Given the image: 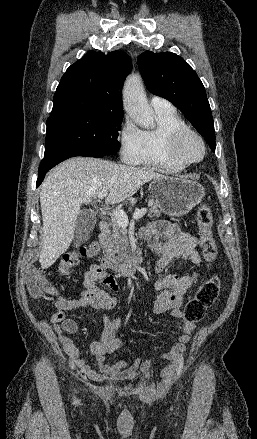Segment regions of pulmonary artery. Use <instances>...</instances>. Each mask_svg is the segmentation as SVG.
<instances>
[{"label": "pulmonary artery", "instance_id": "pulmonary-artery-1", "mask_svg": "<svg viewBox=\"0 0 257 439\" xmlns=\"http://www.w3.org/2000/svg\"><path fill=\"white\" fill-rule=\"evenodd\" d=\"M151 105L155 111H165V110L174 109L169 101L158 96L152 97Z\"/></svg>", "mask_w": 257, "mask_h": 439}]
</instances>
